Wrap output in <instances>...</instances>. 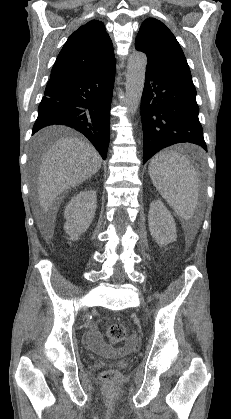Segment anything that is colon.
I'll return each mask as SVG.
<instances>
[{"label": "colon", "mask_w": 231, "mask_h": 419, "mask_svg": "<svg viewBox=\"0 0 231 419\" xmlns=\"http://www.w3.org/2000/svg\"><path fill=\"white\" fill-rule=\"evenodd\" d=\"M126 334V328L120 322L112 323L107 329V337L112 344L122 342L125 339ZM100 378L107 388H112L117 382V372L114 369H107L101 373Z\"/></svg>", "instance_id": "obj_1"}]
</instances>
